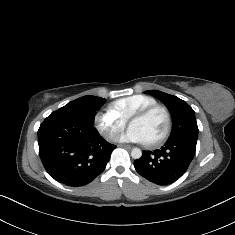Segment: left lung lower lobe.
I'll return each instance as SVG.
<instances>
[{"label":"left lung lower lobe","instance_id":"obj_1","mask_svg":"<svg viewBox=\"0 0 235 235\" xmlns=\"http://www.w3.org/2000/svg\"><path fill=\"white\" fill-rule=\"evenodd\" d=\"M197 140L190 138L168 139L166 144L155 151H143L135 160L136 171L158 185H167L181 177L194 158Z\"/></svg>","mask_w":235,"mask_h":235}]
</instances>
